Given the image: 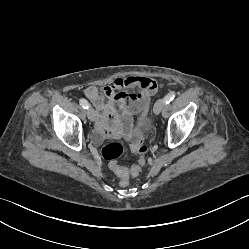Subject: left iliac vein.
<instances>
[{"label": "left iliac vein", "mask_w": 249, "mask_h": 249, "mask_svg": "<svg viewBox=\"0 0 249 249\" xmlns=\"http://www.w3.org/2000/svg\"><path fill=\"white\" fill-rule=\"evenodd\" d=\"M165 105H166V102H165V99H159L156 103H155V105H154V113L156 114V115H158L161 111H162V109L165 107Z\"/></svg>", "instance_id": "left-iliac-vein-1"}]
</instances>
